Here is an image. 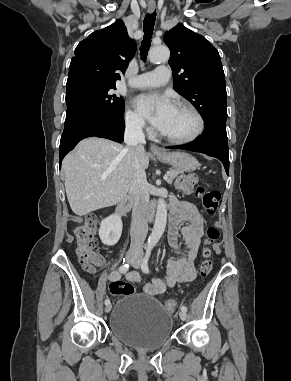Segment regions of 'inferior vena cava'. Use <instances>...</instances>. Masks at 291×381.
Instances as JSON below:
<instances>
[{"mask_svg":"<svg viewBox=\"0 0 291 381\" xmlns=\"http://www.w3.org/2000/svg\"><path fill=\"white\" fill-rule=\"evenodd\" d=\"M124 140L131 149L133 162V178L129 193L134 199L131 221V244L130 254H143V244L147 234V209L149 193L145 170L141 165V154L144 152L145 136L142 124L131 121L126 124Z\"/></svg>","mask_w":291,"mask_h":381,"instance_id":"602c4592","label":"inferior vena cava"}]
</instances>
